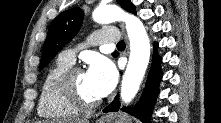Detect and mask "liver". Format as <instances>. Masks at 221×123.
Returning <instances> with one entry per match:
<instances>
[{
	"label": "liver",
	"mask_w": 221,
	"mask_h": 123,
	"mask_svg": "<svg viewBox=\"0 0 221 123\" xmlns=\"http://www.w3.org/2000/svg\"><path fill=\"white\" fill-rule=\"evenodd\" d=\"M85 121L80 120V119H76V120H72L71 123H84ZM40 123V122H39Z\"/></svg>",
	"instance_id": "1"
}]
</instances>
